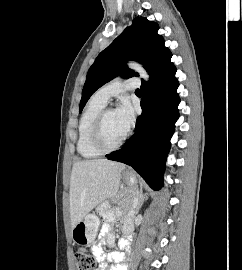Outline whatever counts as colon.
Returning a JSON list of instances; mask_svg holds the SVG:
<instances>
[{
  "instance_id": "1",
  "label": "colon",
  "mask_w": 242,
  "mask_h": 270,
  "mask_svg": "<svg viewBox=\"0 0 242 270\" xmlns=\"http://www.w3.org/2000/svg\"><path fill=\"white\" fill-rule=\"evenodd\" d=\"M76 270H94L96 258L84 249H77L74 253Z\"/></svg>"
}]
</instances>
